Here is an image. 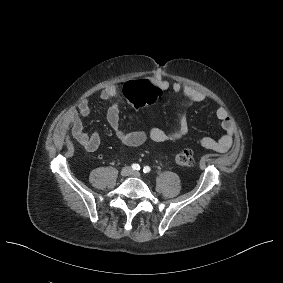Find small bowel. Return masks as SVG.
Returning <instances> with one entry per match:
<instances>
[{"instance_id": "small-bowel-1", "label": "small bowel", "mask_w": 283, "mask_h": 283, "mask_svg": "<svg viewBox=\"0 0 283 283\" xmlns=\"http://www.w3.org/2000/svg\"><path fill=\"white\" fill-rule=\"evenodd\" d=\"M148 82L157 86L161 90L171 88L176 94L183 93L191 104H196L204 100V95L202 93L189 86H182V84L178 81L170 82L161 74H153L149 76ZM100 96L103 101L113 100L117 96L116 86L109 85L105 87L101 91ZM215 113L217 119L220 121L222 129L225 131L224 135H222L219 139L202 137L199 140V143L204 148L218 152H226L233 143L235 125L225 108L219 107ZM89 115V102L87 98L83 97L79 100L77 109L69 115L68 123L72 127V132L76 140L84 147L86 152L92 153L98 149L101 140L97 132L87 134L84 131L82 118H87ZM106 119L118 140L129 147L140 146L148 140L155 143L177 141L183 138L188 132V123L185 119L181 120L179 128L172 133L165 132L160 128H152L149 131L128 132L121 127L119 102L117 101H114L108 108Z\"/></svg>"}]
</instances>
